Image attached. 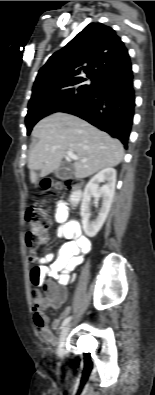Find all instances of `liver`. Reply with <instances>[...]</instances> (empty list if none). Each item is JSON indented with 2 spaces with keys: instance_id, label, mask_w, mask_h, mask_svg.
Segmentation results:
<instances>
[{
  "instance_id": "obj_1",
  "label": "liver",
  "mask_w": 155,
  "mask_h": 395,
  "mask_svg": "<svg viewBox=\"0 0 155 395\" xmlns=\"http://www.w3.org/2000/svg\"><path fill=\"white\" fill-rule=\"evenodd\" d=\"M32 135L39 139L29 155L30 181L36 183L59 169L63 157L72 151L78 160L73 164L74 175L85 178L98 171L115 167L123 159L121 142L85 120L66 113H54L40 120Z\"/></svg>"
}]
</instances>
